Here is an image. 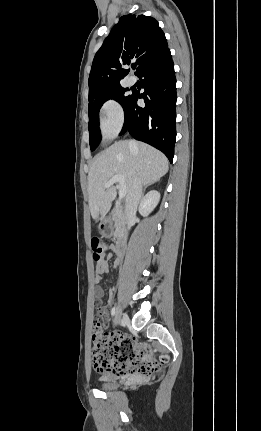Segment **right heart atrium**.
<instances>
[{"label": "right heart atrium", "instance_id": "d8ad5b80", "mask_svg": "<svg viewBox=\"0 0 261 431\" xmlns=\"http://www.w3.org/2000/svg\"><path fill=\"white\" fill-rule=\"evenodd\" d=\"M124 122V111L121 104L114 99L105 101L100 108V124L107 137H114Z\"/></svg>", "mask_w": 261, "mask_h": 431}]
</instances>
